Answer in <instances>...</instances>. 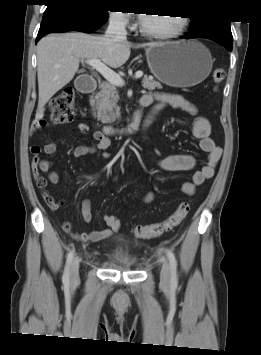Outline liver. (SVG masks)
Returning <instances> with one entry per match:
<instances>
[{"label":"liver","instance_id":"1","mask_svg":"<svg viewBox=\"0 0 261 355\" xmlns=\"http://www.w3.org/2000/svg\"><path fill=\"white\" fill-rule=\"evenodd\" d=\"M131 47L133 45L128 41L114 42L106 36L79 32L50 34L42 38L37 45L39 100L36 116L43 117L44 106L74 78L81 60L100 59L110 67L118 68L129 59Z\"/></svg>","mask_w":261,"mask_h":355}]
</instances>
